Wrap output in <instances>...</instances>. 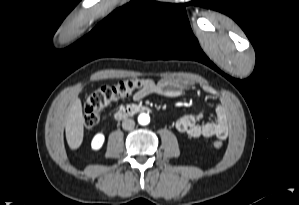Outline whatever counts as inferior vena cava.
Wrapping results in <instances>:
<instances>
[{
    "instance_id": "inferior-vena-cava-1",
    "label": "inferior vena cava",
    "mask_w": 299,
    "mask_h": 205,
    "mask_svg": "<svg viewBox=\"0 0 299 205\" xmlns=\"http://www.w3.org/2000/svg\"><path fill=\"white\" fill-rule=\"evenodd\" d=\"M135 127V121L133 119H125L122 122V128L124 130H132Z\"/></svg>"
}]
</instances>
